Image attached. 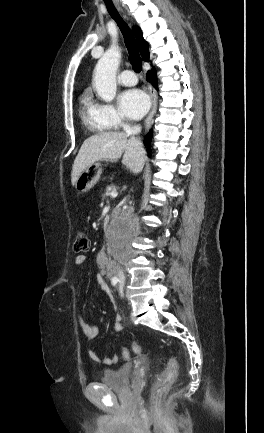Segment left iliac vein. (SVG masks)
Listing matches in <instances>:
<instances>
[{"instance_id": "4c4485c4", "label": "left iliac vein", "mask_w": 264, "mask_h": 433, "mask_svg": "<svg viewBox=\"0 0 264 433\" xmlns=\"http://www.w3.org/2000/svg\"><path fill=\"white\" fill-rule=\"evenodd\" d=\"M124 284H125V280L122 279V280L120 281V284H119V293H120L121 296H123V288H124Z\"/></svg>"}]
</instances>
